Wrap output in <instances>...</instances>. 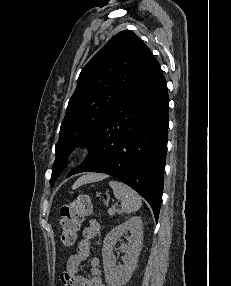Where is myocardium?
Masks as SVG:
<instances>
[{"label":"myocardium","instance_id":"1","mask_svg":"<svg viewBox=\"0 0 231 286\" xmlns=\"http://www.w3.org/2000/svg\"><path fill=\"white\" fill-rule=\"evenodd\" d=\"M81 152H82V149L77 150V151L74 153V157L79 156V155L81 154Z\"/></svg>","mask_w":231,"mask_h":286}]
</instances>
